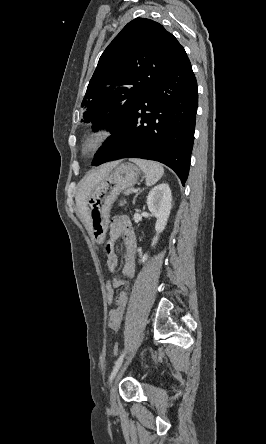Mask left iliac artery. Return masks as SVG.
<instances>
[{
	"mask_svg": "<svg viewBox=\"0 0 266 444\" xmlns=\"http://www.w3.org/2000/svg\"><path fill=\"white\" fill-rule=\"evenodd\" d=\"M124 356H125V352H123V353L120 355V357L118 358V360L116 361V363H115V365H114V367H113V371H112V373H111V375H110V377H109V385L111 384V382H112V380H113V378H114L116 372L118 371L119 367L121 366V364H122V362H123V359H124Z\"/></svg>",
	"mask_w": 266,
	"mask_h": 444,
	"instance_id": "obj_1",
	"label": "left iliac artery"
}]
</instances>
